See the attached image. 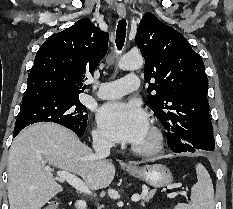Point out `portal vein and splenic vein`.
Masks as SVG:
<instances>
[{
    "label": "portal vein and splenic vein",
    "mask_w": 233,
    "mask_h": 209,
    "mask_svg": "<svg viewBox=\"0 0 233 209\" xmlns=\"http://www.w3.org/2000/svg\"><path fill=\"white\" fill-rule=\"evenodd\" d=\"M49 168V167H47ZM57 175L60 178V180H65L66 182H68L71 186H73L76 190H78L79 192L91 195L92 192L90 191V189L88 188V186L77 176H75L74 174H71L69 172L66 171H57ZM176 195V193H169L167 194V197L172 198ZM142 196L140 195H136V196H132V201L133 202H137L141 199Z\"/></svg>",
    "instance_id": "18ae733b"
}]
</instances>
